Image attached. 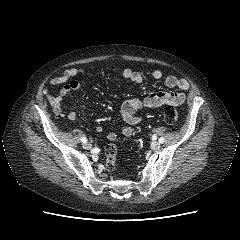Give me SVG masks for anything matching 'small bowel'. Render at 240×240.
<instances>
[{"label": "small bowel", "mask_w": 240, "mask_h": 240, "mask_svg": "<svg viewBox=\"0 0 240 240\" xmlns=\"http://www.w3.org/2000/svg\"><path fill=\"white\" fill-rule=\"evenodd\" d=\"M85 73L86 70L83 68H69L66 69L60 76L54 77L49 81L48 86H61L57 95L47 93L52 111L56 116L60 117L62 115L63 99L80 88L81 83L77 77L84 75ZM122 77L137 84H140L143 81V75L140 72L134 71L130 68H125L122 71ZM152 77L155 80H160L163 78V72L159 69H156L152 72ZM164 82L168 88H177L178 90L175 92H153L142 99L133 98L126 100L121 104L119 112L125 122V125H123L121 128V133L123 136H132V126L138 125L142 121V117L140 115L141 111L157 110L163 105L179 106L183 104L185 100V92L190 88L189 82L185 79H178L173 75L166 76ZM66 117L67 119L74 121L77 119V114L75 112H69ZM96 131L102 132L103 127L98 125L96 127ZM116 138V132H110L108 134L109 140L113 141Z\"/></svg>", "instance_id": "obj_1"}]
</instances>
